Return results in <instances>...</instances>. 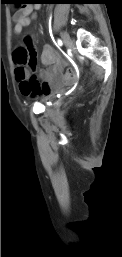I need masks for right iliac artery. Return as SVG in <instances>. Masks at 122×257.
<instances>
[{
	"label": "right iliac artery",
	"instance_id": "82829eb1",
	"mask_svg": "<svg viewBox=\"0 0 122 257\" xmlns=\"http://www.w3.org/2000/svg\"><path fill=\"white\" fill-rule=\"evenodd\" d=\"M57 43L58 45L62 46V41L60 39H58Z\"/></svg>",
	"mask_w": 122,
	"mask_h": 257
}]
</instances>
